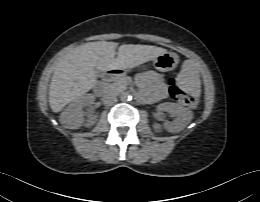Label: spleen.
Returning a JSON list of instances; mask_svg holds the SVG:
<instances>
[{"label":"spleen","mask_w":260,"mask_h":202,"mask_svg":"<svg viewBox=\"0 0 260 202\" xmlns=\"http://www.w3.org/2000/svg\"><path fill=\"white\" fill-rule=\"evenodd\" d=\"M182 88L191 93L198 94L200 90V79L197 72L189 64H185L179 73Z\"/></svg>","instance_id":"1"}]
</instances>
